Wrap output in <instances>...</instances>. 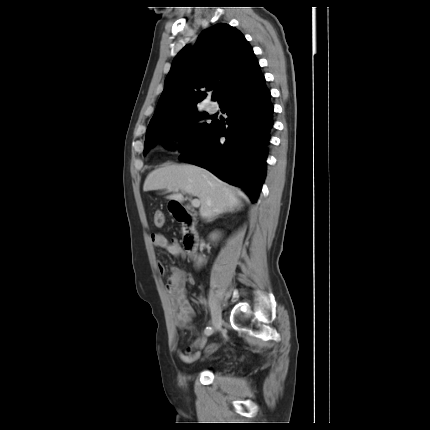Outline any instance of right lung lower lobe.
Listing matches in <instances>:
<instances>
[{
  "label": "right lung lower lobe",
  "instance_id": "obj_1",
  "mask_svg": "<svg viewBox=\"0 0 430 430\" xmlns=\"http://www.w3.org/2000/svg\"><path fill=\"white\" fill-rule=\"evenodd\" d=\"M220 107L229 116L228 129L217 122L201 146L180 157L241 187L256 202L265 176L266 146L273 126V105L264 76L237 85ZM220 136L226 141H219Z\"/></svg>",
  "mask_w": 430,
  "mask_h": 430
}]
</instances>
